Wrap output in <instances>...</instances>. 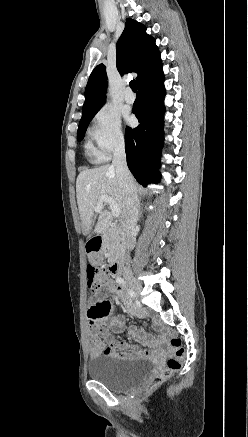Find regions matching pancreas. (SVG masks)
<instances>
[{
	"instance_id": "cf45deb5",
	"label": "pancreas",
	"mask_w": 248,
	"mask_h": 437,
	"mask_svg": "<svg viewBox=\"0 0 248 437\" xmlns=\"http://www.w3.org/2000/svg\"><path fill=\"white\" fill-rule=\"evenodd\" d=\"M109 260H113L124 251V239L117 231H111L106 239Z\"/></svg>"
}]
</instances>
